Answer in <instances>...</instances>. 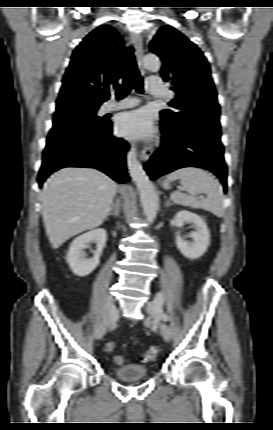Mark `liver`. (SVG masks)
I'll return each mask as SVG.
<instances>
[{"instance_id": "obj_1", "label": "liver", "mask_w": 273, "mask_h": 430, "mask_svg": "<svg viewBox=\"0 0 273 430\" xmlns=\"http://www.w3.org/2000/svg\"><path fill=\"white\" fill-rule=\"evenodd\" d=\"M115 188L112 178L90 167H66L52 174L40 194L52 247L100 226L111 209Z\"/></svg>"}]
</instances>
